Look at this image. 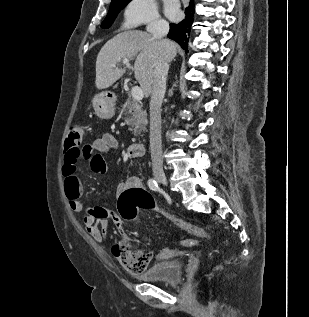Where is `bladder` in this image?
<instances>
[{"label": "bladder", "mask_w": 309, "mask_h": 317, "mask_svg": "<svg viewBox=\"0 0 309 317\" xmlns=\"http://www.w3.org/2000/svg\"><path fill=\"white\" fill-rule=\"evenodd\" d=\"M183 276V264L179 259L160 260L152 264L138 279L167 285L179 284Z\"/></svg>", "instance_id": "31cf9c89"}]
</instances>
